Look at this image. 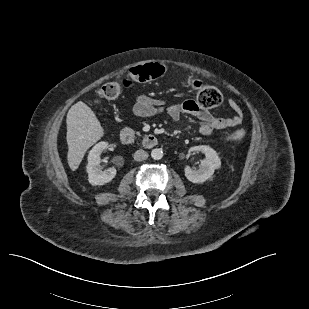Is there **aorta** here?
I'll return each mask as SVG.
<instances>
[{
	"label": "aorta",
	"mask_w": 309,
	"mask_h": 309,
	"mask_svg": "<svg viewBox=\"0 0 309 309\" xmlns=\"http://www.w3.org/2000/svg\"><path fill=\"white\" fill-rule=\"evenodd\" d=\"M151 157L154 160H160L163 157V151L160 148H155L151 151Z\"/></svg>",
	"instance_id": "762f6f07"
}]
</instances>
